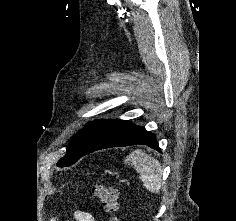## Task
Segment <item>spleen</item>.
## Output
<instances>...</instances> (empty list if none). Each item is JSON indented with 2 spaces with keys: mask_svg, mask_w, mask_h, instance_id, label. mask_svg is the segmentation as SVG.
<instances>
[{
  "mask_svg": "<svg viewBox=\"0 0 236 221\" xmlns=\"http://www.w3.org/2000/svg\"><path fill=\"white\" fill-rule=\"evenodd\" d=\"M125 161L134 166L147 190L153 193L160 191L163 170L158 160L137 149Z\"/></svg>",
  "mask_w": 236,
  "mask_h": 221,
  "instance_id": "obj_1",
  "label": "spleen"
}]
</instances>
